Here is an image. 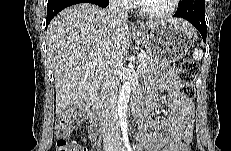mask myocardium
Returning a JSON list of instances; mask_svg holds the SVG:
<instances>
[{
	"instance_id": "f54148a6",
	"label": "myocardium",
	"mask_w": 231,
	"mask_h": 151,
	"mask_svg": "<svg viewBox=\"0 0 231 151\" xmlns=\"http://www.w3.org/2000/svg\"><path fill=\"white\" fill-rule=\"evenodd\" d=\"M179 1L178 0H171L170 6L167 10L159 13H152L144 10L139 2L134 4L135 11L142 17L150 20H162L166 19L174 14L177 9Z\"/></svg>"
}]
</instances>
